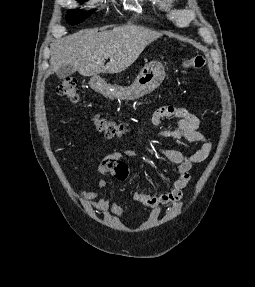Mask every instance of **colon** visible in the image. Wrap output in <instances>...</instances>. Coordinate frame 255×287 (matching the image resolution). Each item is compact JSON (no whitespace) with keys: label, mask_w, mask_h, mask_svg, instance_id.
Wrapping results in <instances>:
<instances>
[{"label":"colon","mask_w":255,"mask_h":287,"mask_svg":"<svg viewBox=\"0 0 255 287\" xmlns=\"http://www.w3.org/2000/svg\"><path fill=\"white\" fill-rule=\"evenodd\" d=\"M206 64L204 57L196 55L183 59V67L185 69L199 70ZM57 94L71 103L79 101V93L76 80L73 78L64 79L57 87ZM96 128L108 137L120 136L124 133V128L120 124L106 120L99 116L93 119Z\"/></svg>","instance_id":"1"}]
</instances>
